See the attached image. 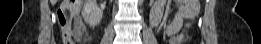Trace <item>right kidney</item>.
I'll list each match as a JSON object with an SVG mask.
<instances>
[{
  "label": "right kidney",
  "instance_id": "ca27d5eb",
  "mask_svg": "<svg viewBox=\"0 0 261 44\" xmlns=\"http://www.w3.org/2000/svg\"><path fill=\"white\" fill-rule=\"evenodd\" d=\"M82 16L90 27H95L102 20L103 12L97 6L96 0H88L83 6Z\"/></svg>",
  "mask_w": 261,
  "mask_h": 44
}]
</instances>
